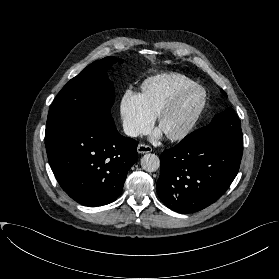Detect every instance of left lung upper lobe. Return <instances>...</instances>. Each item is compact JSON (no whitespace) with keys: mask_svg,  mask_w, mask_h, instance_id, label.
I'll return each instance as SVG.
<instances>
[{"mask_svg":"<svg viewBox=\"0 0 279 279\" xmlns=\"http://www.w3.org/2000/svg\"><path fill=\"white\" fill-rule=\"evenodd\" d=\"M189 140L220 138L243 145L241 122L230 107L216 115L212 122L185 137Z\"/></svg>","mask_w":279,"mask_h":279,"instance_id":"obj_1","label":"left lung upper lobe"}]
</instances>
